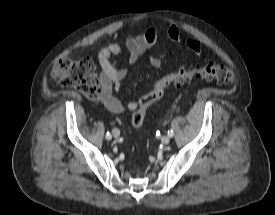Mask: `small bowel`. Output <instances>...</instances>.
<instances>
[{"mask_svg":"<svg viewBox=\"0 0 275 215\" xmlns=\"http://www.w3.org/2000/svg\"><path fill=\"white\" fill-rule=\"evenodd\" d=\"M169 39L179 44L181 42L180 32L176 25L171 24L167 30ZM157 30L155 27H148L143 33L128 34L125 37V45L129 51L128 63L134 65L140 57L151 50L156 44ZM185 45L195 55H200L202 52L201 43L194 38H186ZM122 49L116 41H110L106 46L98 52V62L101 67L100 78L104 91L103 103L106 108L115 114L123 112V104L113 95V91H119L122 82L127 75V69L118 67L114 61V57L120 56ZM148 61L151 67L158 69L161 66V60L154 54H149ZM138 106L136 101H129L126 107L129 110H135Z\"/></svg>","mask_w":275,"mask_h":215,"instance_id":"obj_1","label":"small bowel"}]
</instances>
